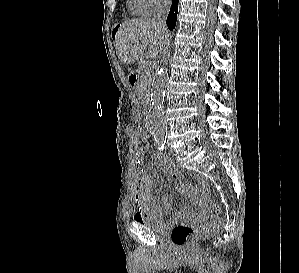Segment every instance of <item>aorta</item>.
Here are the masks:
<instances>
[{"label":"aorta","mask_w":299,"mask_h":273,"mask_svg":"<svg viewBox=\"0 0 299 273\" xmlns=\"http://www.w3.org/2000/svg\"><path fill=\"white\" fill-rule=\"evenodd\" d=\"M169 59L170 52H167L163 59L165 65H167ZM167 81V69L162 67L154 76L151 102L146 111L145 125L156 141H164L166 139L167 123L161 105Z\"/></svg>","instance_id":"762f6f07"}]
</instances>
